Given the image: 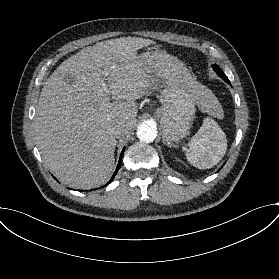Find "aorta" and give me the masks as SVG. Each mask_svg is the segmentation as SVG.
<instances>
[{"mask_svg": "<svg viewBox=\"0 0 279 279\" xmlns=\"http://www.w3.org/2000/svg\"><path fill=\"white\" fill-rule=\"evenodd\" d=\"M137 137L145 143L154 141L157 137L156 125L151 121L143 122L138 126Z\"/></svg>", "mask_w": 279, "mask_h": 279, "instance_id": "762f6f07", "label": "aorta"}]
</instances>
